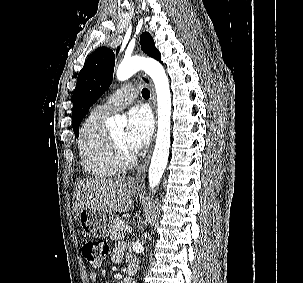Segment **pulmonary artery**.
<instances>
[{
	"label": "pulmonary artery",
	"mask_w": 303,
	"mask_h": 283,
	"mask_svg": "<svg viewBox=\"0 0 303 283\" xmlns=\"http://www.w3.org/2000/svg\"><path fill=\"white\" fill-rule=\"evenodd\" d=\"M137 95L138 93L134 86H125L97 108L103 113L110 115L130 104Z\"/></svg>",
	"instance_id": "e3ab8cb5"
}]
</instances>
